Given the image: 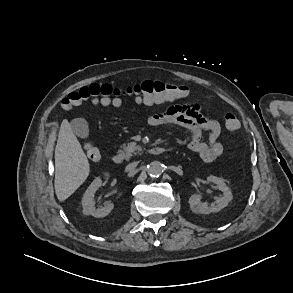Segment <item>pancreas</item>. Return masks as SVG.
Listing matches in <instances>:
<instances>
[{
  "instance_id": "pancreas-1",
  "label": "pancreas",
  "mask_w": 293,
  "mask_h": 293,
  "mask_svg": "<svg viewBox=\"0 0 293 293\" xmlns=\"http://www.w3.org/2000/svg\"><path fill=\"white\" fill-rule=\"evenodd\" d=\"M141 147L138 146L135 142H130L127 145L123 144V150L121 151L126 160L130 159V157L136 153V151H140Z\"/></svg>"
}]
</instances>
